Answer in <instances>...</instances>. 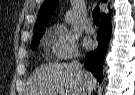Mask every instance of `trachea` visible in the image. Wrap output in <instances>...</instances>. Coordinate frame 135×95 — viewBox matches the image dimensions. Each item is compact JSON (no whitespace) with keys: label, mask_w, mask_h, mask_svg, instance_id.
<instances>
[{"label":"trachea","mask_w":135,"mask_h":95,"mask_svg":"<svg viewBox=\"0 0 135 95\" xmlns=\"http://www.w3.org/2000/svg\"><path fill=\"white\" fill-rule=\"evenodd\" d=\"M92 17H93V20H94V23L96 25H99V22H100V9H99V6H96L92 12Z\"/></svg>","instance_id":"1"}]
</instances>
